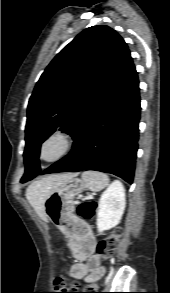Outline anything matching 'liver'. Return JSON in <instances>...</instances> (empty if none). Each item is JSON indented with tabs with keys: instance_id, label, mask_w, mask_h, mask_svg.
I'll return each mask as SVG.
<instances>
[{
	"instance_id": "6515ba94",
	"label": "liver",
	"mask_w": 170,
	"mask_h": 293,
	"mask_svg": "<svg viewBox=\"0 0 170 293\" xmlns=\"http://www.w3.org/2000/svg\"><path fill=\"white\" fill-rule=\"evenodd\" d=\"M74 176L72 173L49 175L28 186L26 198L42 220L47 221L44 204L50 192Z\"/></svg>"
}]
</instances>
